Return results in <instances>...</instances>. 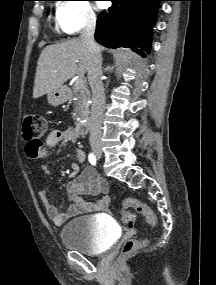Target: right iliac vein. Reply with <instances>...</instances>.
I'll use <instances>...</instances> for the list:
<instances>
[{
	"label": "right iliac vein",
	"instance_id": "63e3f726",
	"mask_svg": "<svg viewBox=\"0 0 216 285\" xmlns=\"http://www.w3.org/2000/svg\"><path fill=\"white\" fill-rule=\"evenodd\" d=\"M93 151H94L95 155H96L99 159L102 158V151H101V149H100L99 147H94V148H93Z\"/></svg>",
	"mask_w": 216,
	"mask_h": 285
}]
</instances>
